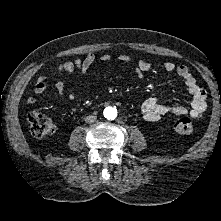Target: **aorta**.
<instances>
[{"label":"aorta","mask_w":221,"mask_h":221,"mask_svg":"<svg viewBox=\"0 0 221 221\" xmlns=\"http://www.w3.org/2000/svg\"><path fill=\"white\" fill-rule=\"evenodd\" d=\"M104 117L108 120H114L117 117V109L115 107H106L104 109Z\"/></svg>","instance_id":"762f6f07"}]
</instances>
